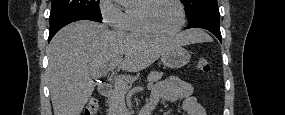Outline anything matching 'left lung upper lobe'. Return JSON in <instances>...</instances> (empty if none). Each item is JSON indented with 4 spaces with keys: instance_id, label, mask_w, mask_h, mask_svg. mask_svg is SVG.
Masks as SVG:
<instances>
[{
    "instance_id": "left-lung-upper-lobe-1",
    "label": "left lung upper lobe",
    "mask_w": 285,
    "mask_h": 115,
    "mask_svg": "<svg viewBox=\"0 0 285 115\" xmlns=\"http://www.w3.org/2000/svg\"><path fill=\"white\" fill-rule=\"evenodd\" d=\"M181 2L186 8L185 13L188 18L200 9L217 5V0H181Z\"/></svg>"
}]
</instances>
